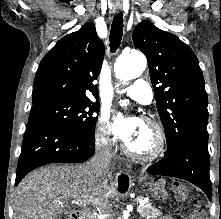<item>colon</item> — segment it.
Listing matches in <instances>:
<instances>
[{"label":"colon","instance_id":"5ec220e1","mask_svg":"<svg viewBox=\"0 0 221 219\" xmlns=\"http://www.w3.org/2000/svg\"><path fill=\"white\" fill-rule=\"evenodd\" d=\"M185 188L181 185L176 186L177 198L179 200H183L185 198L184 195ZM188 219H207L206 214L201 210H195L188 216Z\"/></svg>","mask_w":221,"mask_h":219}]
</instances>
